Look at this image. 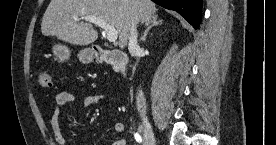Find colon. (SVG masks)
<instances>
[{
    "mask_svg": "<svg viewBox=\"0 0 276 145\" xmlns=\"http://www.w3.org/2000/svg\"><path fill=\"white\" fill-rule=\"evenodd\" d=\"M37 84L42 88L53 87V77L50 71L42 69L37 75Z\"/></svg>",
    "mask_w": 276,
    "mask_h": 145,
    "instance_id": "5ec220e1",
    "label": "colon"
}]
</instances>
